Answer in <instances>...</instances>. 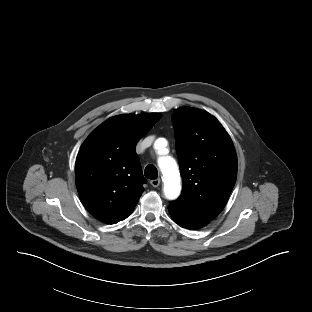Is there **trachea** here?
Here are the masks:
<instances>
[{
    "instance_id": "1",
    "label": "trachea",
    "mask_w": 312,
    "mask_h": 312,
    "mask_svg": "<svg viewBox=\"0 0 312 312\" xmlns=\"http://www.w3.org/2000/svg\"><path fill=\"white\" fill-rule=\"evenodd\" d=\"M144 174L146 178L152 179V180L157 179L158 177V171L154 165L146 166Z\"/></svg>"
}]
</instances>
